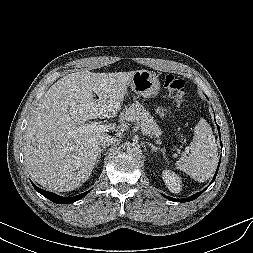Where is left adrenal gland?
I'll return each instance as SVG.
<instances>
[{
    "mask_svg": "<svg viewBox=\"0 0 253 253\" xmlns=\"http://www.w3.org/2000/svg\"><path fill=\"white\" fill-rule=\"evenodd\" d=\"M147 145L151 148V151L152 152H156V151H163L162 149H160V147H156L155 145L149 143V142H146Z\"/></svg>",
    "mask_w": 253,
    "mask_h": 253,
    "instance_id": "obj_1",
    "label": "left adrenal gland"
}]
</instances>
